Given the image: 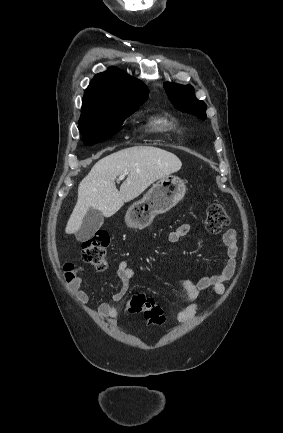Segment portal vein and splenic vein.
Listing matches in <instances>:
<instances>
[{"label": "portal vein and splenic vein", "instance_id": "portal-vein-and-splenic-vein-1", "mask_svg": "<svg viewBox=\"0 0 283 433\" xmlns=\"http://www.w3.org/2000/svg\"><path fill=\"white\" fill-rule=\"evenodd\" d=\"M126 174H128V172H124V174H120L119 178H117V180H122V178H125Z\"/></svg>", "mask_w": 283, "mask_h": 433}]
</instances>
